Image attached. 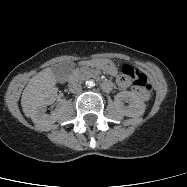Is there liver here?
I'll return each mask as SVG.
<instances>
[{"instance_id": "6515ba94", "label": "liver", "mask_w": 187, "mask_h": 187, "mask_svg": "<svg viewBox=\"0 0 187 187\" xmlns=\"http://www.w3.org/2000/svg\"><path fill=\"white\" fill-rule=\"evenodd\" d=\"M57 83L51 68H46L32 77L25 87L21 106L24 114L34 120L37 110L42 106L45 94Z\"/></svg>"}]
</instances>
